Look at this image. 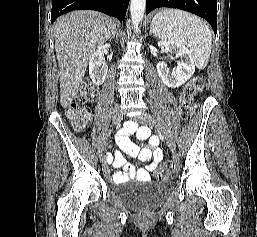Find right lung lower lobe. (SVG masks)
Returning <instances> with one entry per match:
<instances>
[{"mask_svg": "<svg viewBox=\"0 0 257 237\" xmlns=\"http://www.w3.org/2000/svg\"><path fill=\"white\" fill-rule=\"evenodd\" d=\"M129 0H53L51 23L60 15L73 10H96L114 16L120 21L125 19Z\"/></svg>", "mask_w": 257, "mask_h": 237, "instance_id": "obj_1", "label": "right lung lower lobe"}]
</instances>
